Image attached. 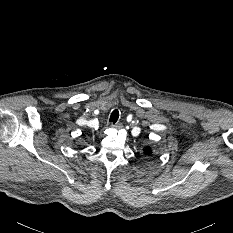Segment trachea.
<instances>
[{
  "instance_id": "obj_1",
  "label": "trachea",
  "mask_w": 233,
  "mask_h": 233,
  "mask_svg": "<svg viewBox=\"0 0 233 233\" xmlns=\"http://www.w3.org/2000/svg\"><path fill=\"white\" fill-rule=\"evenodd\" d=\"M118 118H119V111L117 109H115L111 113L109 121L112 122L113 124H115L117 122Z\"/></svg>"
}]
</instances>
